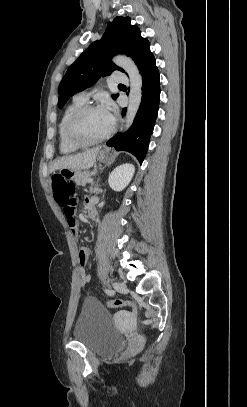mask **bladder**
<instances>
[{
	"instance_id": "1",
	"label": "bladder",
	"mask_w": 247,
	"mask_h": 407,
	"mask_svg": "<svg viewBox=\"0 0 247 407\" xmlns=\"http://www.w3.org/2000/svg\"><path fill=\"white\" fill-rule=\"evenodd\" d=\"M73 336L98 355H112L124 344V336L114 326L111 314L93 297L84 300Z\"/></svg>"
}]
</instances>
